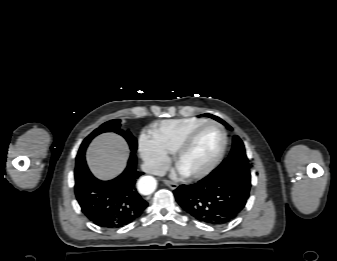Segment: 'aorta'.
<instances>
[{
	"mask_svg": "<svg viewBox=\"0 0 337 261\" xmlns=\"http://www.w3.org/2000/svg\"><path fill=\"white\" fill-rule=\"evenodd\" d=\"M157 182L152 176H143L138 181V190L143 195H149L155 191Z\"/></svg>",
	"mask_w": 337,
	"mask_h": 261,
	"instance_id": "1",
	"label": "aorta"
}]
</instances>
